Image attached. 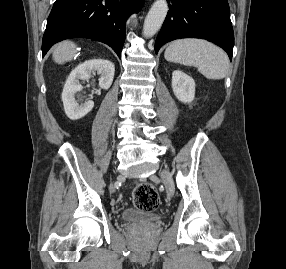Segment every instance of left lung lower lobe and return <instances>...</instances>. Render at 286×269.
Returning <instances> with one entry per match:
<instances>
[{"mask_svg": "<svg viewBox=\"0 0 286 269\" xmlns=\"http://www.w3.org/2000/svg\"><path fill=\"white\" fill-rule=\"evenodd\" d=\"M172 2L155 42V52L169 41L201 38L223 48L232 59L234 34L227 0H167Z\"/></svg>", "mask_w": 286, "mask_h": 269, "instance_id": "1", "label": "left lung lower lobe"}]
</instances>
